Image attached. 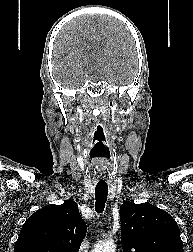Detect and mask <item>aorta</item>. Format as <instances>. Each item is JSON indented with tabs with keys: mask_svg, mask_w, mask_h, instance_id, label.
<instances>
[{
	"mask_svg": "<svg viewBox=\"0 0 193 252\" xmlns=\"http://www.w3.org/2000/svg\"><path fill=\"white\" fill-rule=\"evenodd\" d=\"M92 252H115V245L112 240L100 241Z\"/></svg>",
	"mask_w": 193,
	"mask_h": 252,
	"instance_id": "1",
	"label": "aorta"
}]
</instances>
